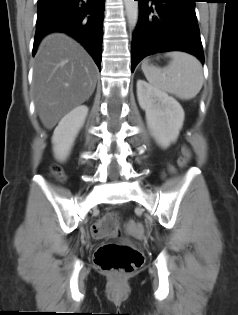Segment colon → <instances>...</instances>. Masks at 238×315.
Returning a JSON list of instances; mask_svg holds the SVG:
<instances>
[{
	"mask_svg": "<svg viewBox=\"0 0 238 315\" xmlns=\"http://www.w3.org/2000/svg\"><path fill=\"white\" fill-rule=\"evenodd\" d=\"M191 153L186 149L179 159L181 166H186ZM55 177L62 179L63 172L58 166L52 167ZM128 230L136 236H142L143 227L134 221L128 223ZM93 235L97 239L116 237L119 234V217L116 213H108L93 226ZM143 253L132 246L106 243L101 245L94 254V263L104 272L117 276L130 274L142 266Z\"/></svg>",
	"mask_w": 238,
	"mask_h": 315,
	"instance_id": "1",
	"label": "colon"
}]
</instances>
